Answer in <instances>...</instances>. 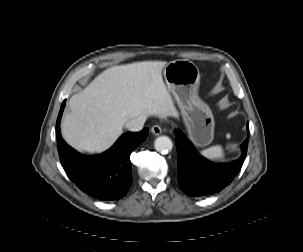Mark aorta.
Instances as JSON below:
<instances>
[{
	"label": "aorta",
	"instance_id": "obj_1",
	"mask_svg": "<svg viewBox=\"0 0 303 252\" xmlns=\"http://www.w3.org/2000/svg\"><path fill=\"white\" fill-rule=\"evenodd\" d=\"M155 149L161 153H168L173 148L172 140L167 136H159L155 140Z\"/></svg>",
	"mask_w": 303,
	"mask_h": 252
}]
</instances>
